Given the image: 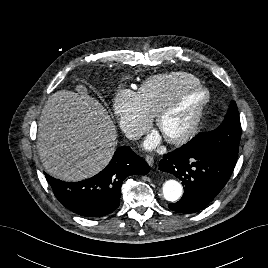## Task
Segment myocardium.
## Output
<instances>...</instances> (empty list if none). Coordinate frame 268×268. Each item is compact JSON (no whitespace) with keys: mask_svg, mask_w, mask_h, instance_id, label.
<instances>
[{"mask_svg":"<svg viewBox=\"0 0 268 268\" xmlns=\"http://www.w3.org/2000/svg\"><path fill=\"white\" fill-rule=\"evenodd\" d=\"M195 91L199 94L198 104L193 112V116L186 128L175 136H164L166 141L173 145H182L188 142L199 128L204 116L205 109L210 100L209 91L202 85H187L176 92L157 112L155 122L158 129L165 117H167L179 104L181 97L189 92Z\"/></svg>","mask_w":268,"mask_h":268,"instance_id":"f54148a6","label":"myocardium"}]
</instances>
